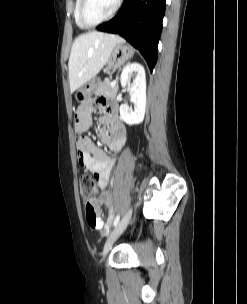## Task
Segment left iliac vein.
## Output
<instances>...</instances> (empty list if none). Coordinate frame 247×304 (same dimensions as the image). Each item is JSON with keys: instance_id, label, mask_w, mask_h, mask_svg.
I'll list each match as a JSON object with an SVG mask.
<instances>
[{"instance_id": "4c4485c4", "label": "left iliac vein", "mask_w": 247, "mask_h": 304, "mask_svg": "<svg viewBox=\"0 0 247 304\" xmlns=\"http://www.w3.org/2000/svg\"><path fill=\"white\" fill-rule=\"evenodd\" d=\"M132 209L130 208L127 213L124 215L122 220L117 224L115 229L112 231L110 236L108 237L106 244L104 246L103 250V257H106L108 254L110 248L112 247L113 243L116 241V239L121 235V233L125 230L126 226L128 225V222L131 218Z\"/></svg>"}]
</instances>
